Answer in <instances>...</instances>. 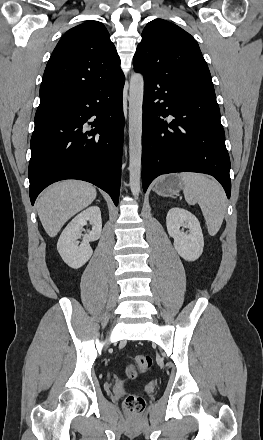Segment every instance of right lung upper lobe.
I'll return each mask as SVG.
<instances>
[{
	"label": "right lung upper lobe",
	"mask_w": 263,
	"mask_h": 440,
	"mask_svg": "<svg viewBox=\"0 0 263 440\" xmlns=\"http://www.w3.org/2000/svg\"><path fill=\"white\" fill-rule=\"evenodd\" d=\"M124 78L120 58L105 26L88 21L68 30L44 71L40 105L58 101Z\"/></svg>",
	"instance_id": "1"
}]
</instances>
